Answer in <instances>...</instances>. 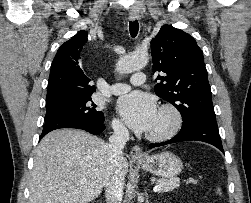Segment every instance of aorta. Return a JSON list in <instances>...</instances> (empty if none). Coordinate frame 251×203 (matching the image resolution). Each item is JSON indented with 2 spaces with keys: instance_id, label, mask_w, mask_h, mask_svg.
<instances>
[{
  "instance_id": "762f6f07",
  "label": "aorta",
  "mask_w": 251,
  "mask_h": 203,
  "mask_svg": "<svg viewBox=\"0 0 251 203\" xmlns=\"http://www.w3.org/2000/svg\"><path fill=\"white\" fill-rule=\"evenodd\" d=\"M148 62V54L145 51H138L131 55L121 58L117 65L116 69L120 73H131L138 69L146 66Z\"/></svg>"
}]
</instances>
